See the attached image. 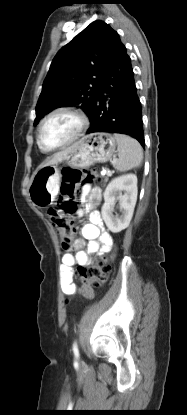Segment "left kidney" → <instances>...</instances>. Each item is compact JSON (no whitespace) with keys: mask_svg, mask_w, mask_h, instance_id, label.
<instances>
[{"mask_svg":"<svg viewBox=\"0 0 187 415\" xmlns=\"http://www.w3.org/2000/svg\"><path fill=\"white\" fill-rule=\"evenodd\" d=\"M124 191V194H122ZM137 176L127 174L111 180L104 192V204L101 209L102 218L113 233L127 228L133 216L137 201ZM119 201L121 215H114L116 201Z\"/></svg>","mask_w":187,"mask_h":415,"instance_id":"obj_1","label":"left kidney"}]
</instances>
